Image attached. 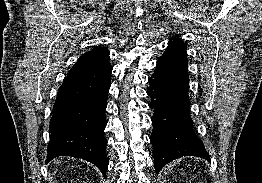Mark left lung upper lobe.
Listing matches in <instances>:
<instances>
[{
  "label": "left lung upper lobe",
  "mask_w": 262,
  "mask_h": 183,
  "mask_svg": "<svg viewBox=\"0 0 262 183\" xmlns=\"http://www.w3.org/2000/svg\"><path fill=\"white\" fill-rule=\"evenodd\" d=\"M168 47L186 51V45L181 40H179L177 37H173V41H169Z\"/></svg>",
  "instance_id": "1"
}]
</instances>
